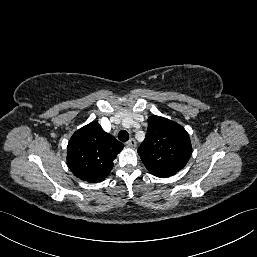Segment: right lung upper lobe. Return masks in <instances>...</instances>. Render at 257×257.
I'll list each match as a JSON object with an SVG mask.
<instances>
[{
  "mask_svg": "<svg viewBox=\"0 0 257 257\" xmlns=\"http://www.w3.org/2000/svg\"><path fill=\"white\" fill-rule=\"evenodd\" d=\"M123 147L97 121H93L71 137L67 147V164L81 180L101 182L112 170L113 160Z\"/></svg>",
  "mask_w": 257,
  "mask_h": 257,
  "instance_id": "obj_1",
  "label": "right lung upper lobe"
}]
</instances>
